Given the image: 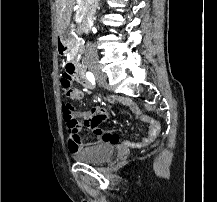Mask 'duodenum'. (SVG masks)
<instances>
[{
    "instance_id": "obj_1",
    "label": "duodenum",
    "mask_w": 217,
    "mask_h": 202,
    "mask_svg": "<svg viewBox=\"0 0 217 202\" xmlns=\"http://www.w3.org/2000/svg\"><path fill=\"white\" fill-rule=\"evenodd\" d=\"M58 51L61 56H67L68 54V46L62 38H59L58 40ZM66 72L84 87H92V84L89 82L87 76L85 75L84 68L81 66H78L73 62H68L66 64Z\"/></svg>"
}]
</instances>
